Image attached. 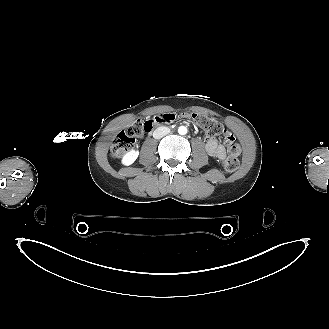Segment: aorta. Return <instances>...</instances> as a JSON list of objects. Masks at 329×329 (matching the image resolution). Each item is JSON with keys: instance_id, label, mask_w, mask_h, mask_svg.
<instances>
[{"instance_id": "1", "label": "aorta", "mask_w": 329, "mask_h": 329, "mask_svg": "<svg viewBox=\"0 0 329 329\" xmlns=\"http://www.w3.org/2000/svg\"><path fill=\"white\" fill-rule=\"evenodd\" d=\"M178 133H179L180 135H186V134H187V127H185V126H180V127L178 128Z\"/></svg>"}]
</instances>
